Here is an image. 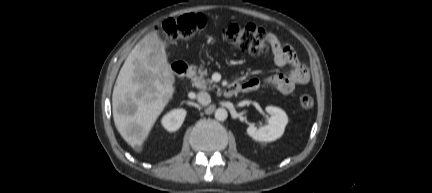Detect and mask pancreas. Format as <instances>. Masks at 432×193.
Masks as SVG:
<instances>
[{"label":"pancreas","mask_w":432,"mask_h":193,"mask_svg":"<svg viewBox=\"0 0 432 193\" xmlns=\"http://www.w3.org/2000/svg\"><path fill=\"white\" fill-rule=\"evenodd\" d=\"M205 76H207V70L199 69L198 76H194L192 78L193 85L199 89L213 90L216 85L213 84V81L211 79H205Z\"/></svg>","instance_id":"cf45deb5"}]
</instances>
